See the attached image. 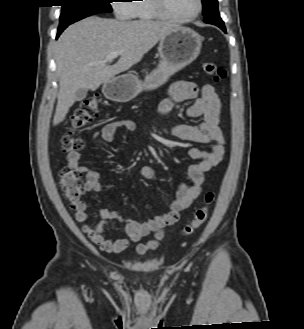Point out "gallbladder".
Returning a JSON list of instances; mask_svg holds the SVG:
<instances>
[{
	"label": "gallbladder",
	"mask_w": 304,
	"mask_h": 329,
	"mask_svg": "<svg viewBox=\"0 0 304 329\" xmlns=\"http://www.w3.org/2000/svg\"><path fill=\"white\" fill-rule=\"evenodd\" d=\"M87 95V89L80 88L76 91L75 101H82Z\"/></svg>",
	"instance_id": "obj_1"
}]
</instances>
